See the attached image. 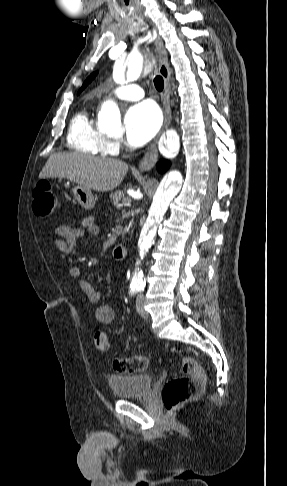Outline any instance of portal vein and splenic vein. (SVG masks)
I'll return each mask as SVG.
<instances>
[{"label":"portal vein and splenic vein","instance_id":"1","mask_svg":"<svg viewBox=\"0 0 287 486\" xmlns=\"http://www.w3.org/2000/svg\"><path fill=\"white\" fill-rule=\"evenodd\" d=\"M123 203L126 205V204H129L130 203V199H123Z\"/></svg>","mask_w":287,"mask_h":486}]
</instances>
